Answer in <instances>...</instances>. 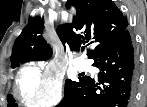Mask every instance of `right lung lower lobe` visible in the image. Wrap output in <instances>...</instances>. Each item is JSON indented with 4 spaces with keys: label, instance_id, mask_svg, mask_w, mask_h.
<instances>
[{
    "label": "right lung lower lobe",
    "instance_id": "98d812e1",
    "mask_svg": "<svg viewBox=\"0 0 147 107\" xmlns=\"http://www.w3.org/2000/svg\"><path fill=\"white\" fill-rule=\"evenodd\" d=\"M98 79L81 78L57 107H131L137 84V58L126 31L94 58Z\"/></svg>",
    "mask_w": 147,
    "mask_h": 107
}]
</instances>
